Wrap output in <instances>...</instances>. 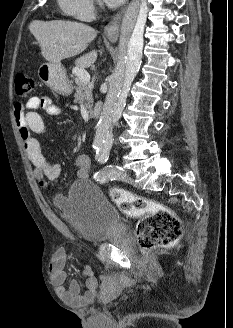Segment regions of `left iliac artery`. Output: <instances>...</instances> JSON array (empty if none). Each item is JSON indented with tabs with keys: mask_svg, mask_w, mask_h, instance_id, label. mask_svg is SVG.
Listing matches in <instances>:
<instances>
[{
	"mask_svg": "<svg viewBox=\"0 0 233 328\" xmlns=\"http://www.w3.org/2000/svg\"><path fill=\"white\" fill-rule=\"evenodd\" d=\"M110 149V146L98 147L96 149V159L99 163H105L108 160ZM110 177L112 175L106 171L96 172L94 174V179L99 183H105Z\"/></svg>",
	"mask_w": 233,
	"mask_h": 328,
	"instance_id": "44dca946",
	"label": "left iliac artery"
}]
</instances>
